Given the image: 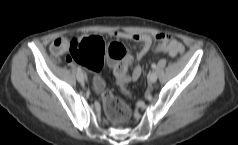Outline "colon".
Listing matches in <instances>:
<instances>
[{
	"label": "colon",
	"mask_w": 238,
	"mask_h": 145,
	"mask_svg": "<svg viewBox=\"0 0 238 145\" xmlns=\"http://www.w3.org/2000/svg\"><path fill=\"white\" fill-rule=\"evenodd\" d=\"M156 50L166 52L173 57H177L183 52V48L170 41L159 42ZM106 56L113 64L118 83L125 87L128 82V64L126 50L121 43L113 41L106 46L104 41L96 36L75 37L70 43V58L91 71H100L104 66ZM93 85L102 97L107 117L114 123L126 122L131 115L128 105L115 97L100 77H95Z\"/></svg>",
	"instance_id": "obj_1"
}]
</instances>
